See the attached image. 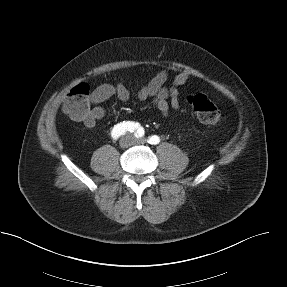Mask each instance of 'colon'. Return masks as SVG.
Instances as JSON below:
<instances>
[{
  "mask_svg": "<svg viewBox=\"0 0 287 287\" xmlns=\"http://www.w3.org/2000/svg\"><path fill=\"white\" fill-rule=\"evenodd\" d=\"M186 101L201 122L217 125L224 120V115L206 95L191 94ZM62 108L73 120L83 121L90 111L89 86L86 83H81L71 89Z\"/></svg>",
  "mask_w": 287,
  "mask_h": 287,
  "instance_id": "colon-1",
  "label": "colon"
}]
</instances>
